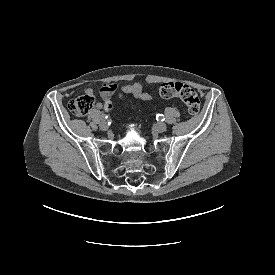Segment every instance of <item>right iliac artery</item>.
<instances>
[{"mask_svg":"<svg viewBox=\"0 0 275 275\" xmlns=\"http://www.w3.org/2000/svg\"><path fill=\"white\" fill-rule=\"evenodd\" d=\"M107 118H108L107 115H105V114H102V115H101V119H102V120H106Z\"/></svg>","mask_w":275,"mask_h":275,"instance_id":"82829eb1","label":"right iliac artery"}]
</instances>
